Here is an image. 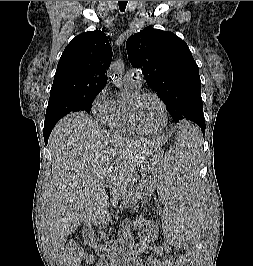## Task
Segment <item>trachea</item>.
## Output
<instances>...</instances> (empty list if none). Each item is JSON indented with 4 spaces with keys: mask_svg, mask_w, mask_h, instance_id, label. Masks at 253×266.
Returning <instances> with one entry per match:
<instances>
[{
    "mask_svg": "<svg viewBox=\"0 0 253 266\" xmlns=\"http://www.w3.org/2000/svg\"><path fill=\"white\" fill-rule=\"evenodd\" d=\"M119 2V8L121 10V12H123L126 8L127 2L128 1H118Z\"/></svg>",
    "mask_w": 253,
    "mask_h": 266,
    "instance_id": "obj_1",
    "label": "trachea"
}]
</instances>
